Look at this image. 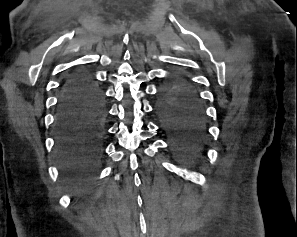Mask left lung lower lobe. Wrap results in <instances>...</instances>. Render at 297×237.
Returning a JSON list of instances; mask_svg holds the SVG:
<instances>
[{
	"label": "left lung lower lobe",
	"mask_w": 297,
	"mask_h": 237,
	"mask_svg": "<svg viewBox=\"0 0 297 237\" xmlns=\"http://www.w3.org/2000/svg\"><path fill=\"white\" fill-rule=\"evenodd\" d=\"M162 126L171 137V144L187 158L197 156L207 140L206 118L197 101H182L158 105Z\"/></svg>",
	"instance_id": "left-lung-lower-lobe-1"
}]
</instances>
